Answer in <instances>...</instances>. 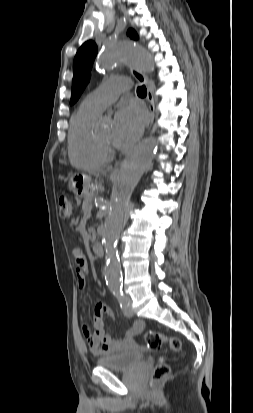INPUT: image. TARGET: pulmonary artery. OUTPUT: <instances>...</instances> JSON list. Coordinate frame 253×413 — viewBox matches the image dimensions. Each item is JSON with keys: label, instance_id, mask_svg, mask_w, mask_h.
<instances>
[{"label": "pulmonary artery", "instance_id": "pulmonary-artery-1", "mask_svg": "<svg viewBox=\"0 0 253 413\" xmlns=\"http://www.w3.org/2000/svg\"><path fill=\"white\" fill-rule=\"evenodd\" d=\"M127 90V86L118 79L106 81L97 90L90 93L82 102V106L97 114L112 104L118 96Z\"/></svg>", "mask_w": 253, "mask_h": 413}]
</instances>
